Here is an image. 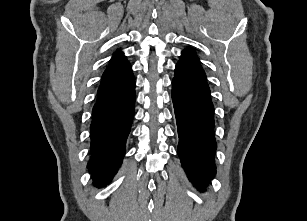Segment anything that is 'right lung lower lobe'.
Segmentation results:
<instances>
[{
  "label": "right lung lower lobe",
  "mask_w": 307,
  "mask_h": 221,
  "mask_svg": "<svg viewBox=\"0 0 307 221\" xmlns=\"http://www.w3.org/2000/svg\"><path fill=\"white\" fill-rule=\"evenodd\" d=\"M135 79L125 85L103 93H97L90 126L91 158L88 168L94 184H108L126 151L128 137L134 117Z\"/></svg>",
  "instance_id": "right-lung-lower-lobe-1"
}]
</instances>
